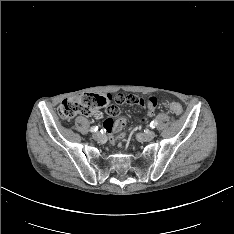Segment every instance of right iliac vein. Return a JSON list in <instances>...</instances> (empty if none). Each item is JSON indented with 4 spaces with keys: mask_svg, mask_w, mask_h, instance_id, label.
Returning <instances> with one entry per match:
<instances>
[{
    "mask_svg": "<svg viewBox=\"0 0 234 234\" xmlns=\"http://www.w3.org/2000/svg\"><path fill=\"white\" fill-rule=\"evenodd\" d=\"M92 137L95 139V140H100L103 136L100 132H95Z\"/></svg>",
    "mask_w": 234,
    "mask_h": 234,
    "instance_id": "1",
    "label": "right iliac vein"
}]
</instances>
